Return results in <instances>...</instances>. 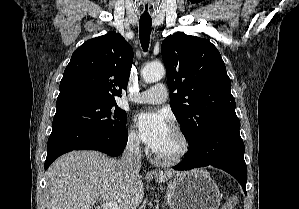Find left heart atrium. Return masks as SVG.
I'll return each mask as SVG.
<instances>
[{
	"instance_id": "obj_1",
	"label": "left heart atrium",
	"mask_w": 299,
	"mask_h": 209,
	"mask_svg": "<svg viewBox=\"0 0 299 209\" xmlns=\"http://www.w3.org/2000/svg\"><path fill=\"white\" fill-rule=\"evenodd\" d=\"M135 123L141 140L153 151L164 141L171 127L163 111H143L136 115Z\"/></svg>"
}]
</instances>
